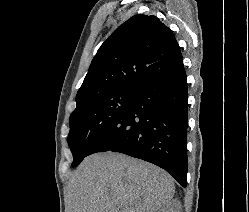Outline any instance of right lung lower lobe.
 Returning a JSON list of instances; mask_svg holds the SVG:
<instances>
[{"label":"right lung lower lobe","mask_w":249,"mask_h":212,"mask_svg":"<svg viewBox=\"0 0 249 212\" xmlns=\"http://www.w3.org/2000/svg\"><path fill=\"white\" fill-rule=\"evenodd\" d=\"M187 81L183 62L143 86L94 143L96 152H120L151 162L182 187L187 175Z\"/></svg>","instance_id":"98d812e1"}]
</instances>
